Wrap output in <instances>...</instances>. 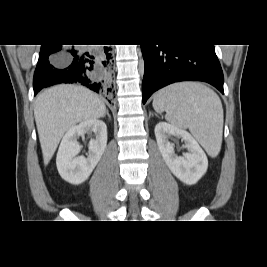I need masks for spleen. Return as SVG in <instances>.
Masks as SVG:
<instances>
[{
  "instance_id": "1",
  "label": "spleen",
  "mask_w": 267,
  "mask_h": 267,
  "mask_svg": "<svg viewBox=\"0 0 267 267\" xmlns=\"http://www.w3.org/2000/svg\"><path fill=\"white\" fill-rule=\"evenodd\" d=\"M156 112L166 111L165 118L173 126L189 129L211 157L222 145L223 108L219 96L198 82H181L158 91L153 99Z\"/></svg>"
}]
</instances>
